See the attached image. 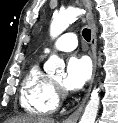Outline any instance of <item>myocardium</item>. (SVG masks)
<instances>
[{
    "instance_id": "myocardium-1",
    "label": "myocardium",
    "mask_w": 118,
    "mask_h": 123,
    "mask_svg": "<svg viewBox=\"0 0 118 123\" xmlns=\"http://www.w3.org/2000/svg\"><path fill=\"white\" fill-rule=\"evenodd\" d=\"M53 85H54L55 89L57 90V92H58L59 94H61L62 96H64V93L60 90L59 84L53 82Z\"/></svg>"
}]
</instances>
